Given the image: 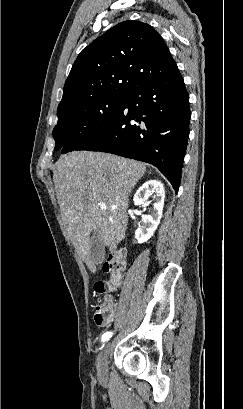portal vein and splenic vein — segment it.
<instances>
[{
  "instance_id": "portal-vein-and-splenic-vein-1",
  "label": "portal vein and splenic vein",
  "mask_w": 243,
  "mask_h": 409,
  "mask_svg": "<svg viewBox=\"0 0 243 409\" xmlns=\"http://www.w3.org/2000/svg\"><path fill=\"white\" fill-rule=\"evenodd\" d=\"M98 205L100 206L101 210H106L107 209L106 204L103 203V202L98 203Z\"/></svg>"
}]
</instances>
